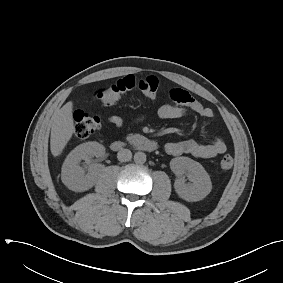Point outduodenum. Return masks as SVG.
<instances>
[{
	"label": "duodenum",
	"instance_id": "obj_1",
	"mask_svg": "<svg viewBox=\"0 0 283 283\" xmlns=\"http://www.w3.org/2000/svg\"><path fill=\"white\" fill-rule=\"evenodd\" d=\"M111 149L115 152L121 151L127 147L143 150L147 152H154L157 150V143L147 137L139 136L128 141L115 140L111 143Z\"/></svg>",
	"mask_w": 283,
	"mask_h": 283
}]
</instances>
